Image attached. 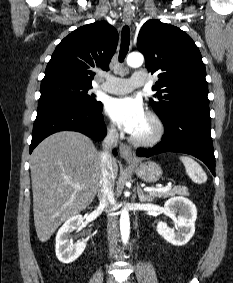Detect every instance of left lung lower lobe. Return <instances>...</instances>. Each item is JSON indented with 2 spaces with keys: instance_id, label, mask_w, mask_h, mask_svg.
I'll return each instance as SVG.
<instances>
[{
  "instance_id": "obj_1",
  "label": "left lung lower lobe",
  "mask_w": 233,
  "mask_h": 283,
  "mask_svg": "<svg viewBox=\"0 0 233 283\" xmlns=\"http://www.w3.org/2000/svg\"><path fill=\"white\" fill-rule=\"evenodd\" d=\"M166 133L152 149H139L138 156L149 157L167 151L182 152L202 160L215 176V157L211 138L209 107L193 105L162 119Z\"/></svg>"
}]
</instances>
